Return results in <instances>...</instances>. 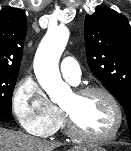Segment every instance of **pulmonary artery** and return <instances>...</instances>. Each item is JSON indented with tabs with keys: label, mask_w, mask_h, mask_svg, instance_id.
Segmentation results:
<instances>
[{
	"label": "pulmonary artery",
	"mask_w": 131,
	"mask_h": 151,
	"mask_svg": "<svg viewBox=\"0 0 131 151\" xmlns=\"http://www.w3.org/2000/svg\"><path fill=\"white\" fill-rule=\"evenodd\" d=\"M60 71L62 76L72 84L80 81L81 70L78 62L73 57H65L61 61Z\"/></svg>",
	"instance_id": "e3ab8cb5"
}]
</instances>
